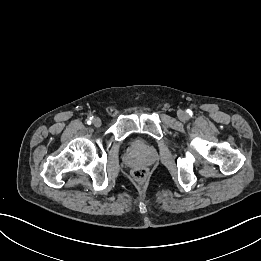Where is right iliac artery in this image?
Wrapping results in <instances>:
<instances>
[{"instance_id": "right-iliac-artery-1", "label": "right iliac artery", "mask_w": 261, "mask_h": 261, "mask_svg": "<svg viewBox=\"0 0 261 261\" xmlns=\"http://www.w3.org/2000/svg\"><path fill=\"white\" fill-rule=\"evenodd\" d=\"M92 119H93V116L88 119L87 123H88V124H91V120H92Z\"/></svg>"}]
</instances>
